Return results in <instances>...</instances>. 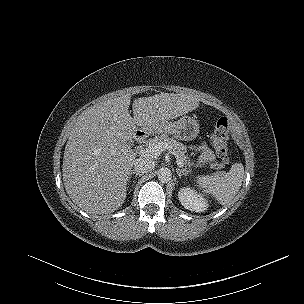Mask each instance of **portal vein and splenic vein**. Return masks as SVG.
Wrapping results in <instances>:
<instances>
[{
  "mask_svg": "<svg viewBox=\"0 0 304 304\" xmlns=\"http://www.w3.org/2000/svg\"><path fill=\"white\" fill-rule=\"evenodd\" d=\"M167 145L164 143H158L156 145H152L148 148L141 149L140 154L147 158H155L159 156L164 150H166ZM177 164L182 166V163L179 161L178 157H176Z\"/></svg>",
  "mask_w": 304,
  "mask_h": 304,
  "instance_id": "obj_1",
  "label": "portal vein and splenic vein"
}]
</instances>
